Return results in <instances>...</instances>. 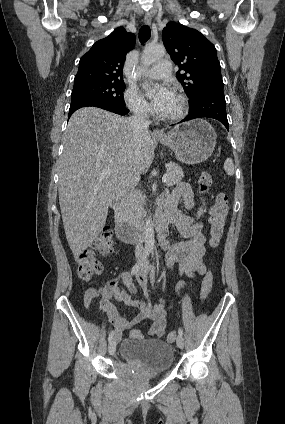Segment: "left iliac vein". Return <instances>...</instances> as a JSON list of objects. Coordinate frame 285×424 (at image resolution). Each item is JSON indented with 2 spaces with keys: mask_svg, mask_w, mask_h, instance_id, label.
<instances>
[{
  "mask_svg": "<svg viewBox=\"0 0 285 424\" xmlns=\"http://www.w3.org/2000/svg\"><path fill=\"white\" fill-rule=\"evenodd\" d=\"M148 269H149V262L146 261L145 264H144V266H143L144 274H147ZM176 343H177V346L182 349L184 347V338H183V336L178 335L177 336V339H176Z\"/></svg>",
  "mask_w": 285,
  "mask_h": 424,
  "instance_id": "1",
  "label": "left iliac vein"
}]
</instances>
